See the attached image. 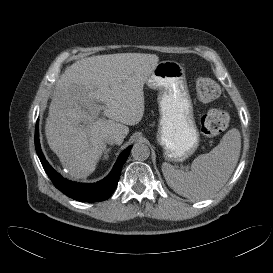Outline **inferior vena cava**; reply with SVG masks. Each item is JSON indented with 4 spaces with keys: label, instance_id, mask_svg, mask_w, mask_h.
<instances>
[{
    "label": "inferior vena cava",
    "instance_id": "obj_1",
    "mask_svg": "<svg viewBox=\"0 0 273 273\" xmlns=\"http://www.w3.org/2000/svg\"><path fill=\"white\" fill-rule=\"evenodd\" d=\"M105 142L111 145L113 144L119 145L122 143V139L118 135H110L106 137Z\"/></svg>",
    "mask_w": 273,
    "mask_h": 273
}]
</instances>
